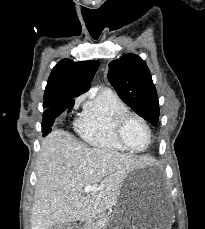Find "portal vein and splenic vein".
<instances>
[{
    "instance_id": "portal-vein-and-splenic-vein-1",
    "label": "portal vein and splenic vein",
    "mask_w": 205,
    "mask_h": 229,
    "mask_svg": "<svg viewBox=\"0 0 205 229\" xmlns=\"http://www.w3.org/2000/svg\"><path fill=\"white\" fill-rule=\"evenodd\" d=\"M98 189H99L98 187H95V186H92V185H89V184L84 186V192L85 193H89L91 191H95V190H98Z\"/></svg>"
}]
</instances>
